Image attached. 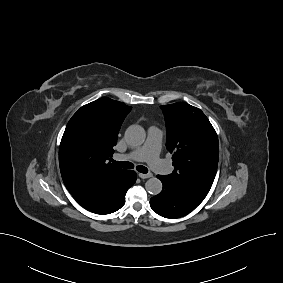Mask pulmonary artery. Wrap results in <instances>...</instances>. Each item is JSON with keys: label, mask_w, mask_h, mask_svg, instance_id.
<instances>
[{"label": "pulmonary artery", "mask_w": 283, "mask_h": 283, "mask_svg": "<svg viewBox=\"0 0 283 283\" xmlns=\"http://www.w3.org/2000/svg\"><path fill=\"white\" fill-rule=\"evenodd\" d=\"M162 138L163 132L152 126L148 129L147 140L142 147L126 154H118L115 158L117 160L145 161L154 171L168 174L170 167L159 156Z\"/></svg>", "instance_id": "obj_1"}]
</instances>
